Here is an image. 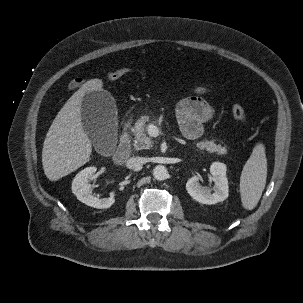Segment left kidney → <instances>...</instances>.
I'll return each instance as SVG.
<instances>
[{
  "label": "left kidney",
  "instance_id": "left-kidney-1",
  "mask_svg": "<svg viewBox=\"0 0 303 303\" xmlns=\"http://www.w3.org/2000/svg\"><path fill=\"white\" fill-rule=\"evenodd\" d=\"M210 181L214 182L213 193L208 187H202L199 183L202 180L200 175L190 178L186 183L188 194L196 201L203 204H216L228 197V180L226 177V165L214 162L210 168Z\"/></svg>",
  "mask_w": 303,
  "mask_h": 303
}]
</instances>
